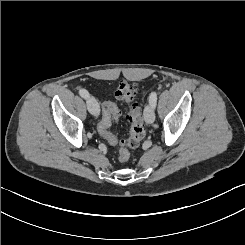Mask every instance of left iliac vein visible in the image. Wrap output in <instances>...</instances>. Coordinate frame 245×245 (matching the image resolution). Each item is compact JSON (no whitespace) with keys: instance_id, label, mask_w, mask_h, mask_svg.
Returning <instances> with one entry per match:
<instances>
[{"instance_id":"4c4485c4","label":"left iliac vein","mask_w":245,"mask_h":245,"mask_svg":"<svg viewBox=\"0 0 245 245\" xmlns=\"http://www.w3.org/2000/svg\"><path fill=\"white\" fill-rule=\"evenodd\" d=\"M144 118L147 124H152L155 120L154 107L151 103L147 104L144 109Z\"/></svg>"}]
</instances>
